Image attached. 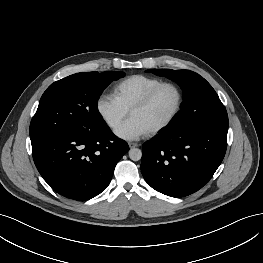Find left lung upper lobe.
<instances>
[{
	"label": "left lung upper lobe",
	"mask_w": 263,
	"mask_h": 263,
	"mask_svg": "<svg viewBox=\"0 0 263 263\" xmlns=\"http://www.w3.org/2000/svg\"><path fill=\"white\" fill-rule=\"evenodd\" d=\"M158 76L176 81L183 90L181 110L168 127L180 132H193L200 128L228 124V115L217 93L199 74L190 70L150 69Z\"/></svg>",
	"instance_id": "5c2ea615"
}]
</instances>
